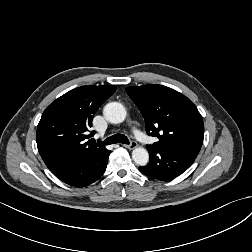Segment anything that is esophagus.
I'll use <instances>...</instances> for the list:
<instances>
[{"instance_id":"esophagus-1","label":"esophagus","mask_w":252,"mask_h":252,"mask_svg":"<svg viewBox=\"0 0 252 252\" xmlns=\"http://www.w3.org/2000/svg\"><path fill=\"white\" fill-rule=\"evenodd\" d=\"M125 148H128V149H134L138 146L137 142L135 141H132L130 144L128 145H123Z\"/></svg>"}]
</instances>
